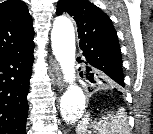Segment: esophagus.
Here are the masks:
<instances>
[{
  "instance_id": "1",
  "label": "esophagus",
  "mask_w": 153,
  "mask_h": 134,
  "mask_svg": "<svg viewBox=\"0 0 153 134\" xmlns=\"http://www.w3.org/2000/svg\"><path fill=\"white\" fill-rule=\"evenodd\" d=\"M50 75L52 77L54 85L58 86L59 89H63V82L61 79L60 69L56 61H51V67H50Z\"/></svg>"
}]
</instances>
